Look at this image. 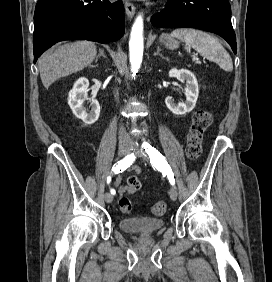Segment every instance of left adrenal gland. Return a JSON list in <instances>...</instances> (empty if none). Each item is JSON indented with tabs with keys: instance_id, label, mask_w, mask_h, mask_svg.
Returning a JSON list of instances; mask_svg holds the SVG:
<instances>
[{
	"instance_id": "left-adrenal-gland-1",
	"label": "left adrenal gland",
	"mask_w": 272,
	"mask_h": 282,
	"mask_svg": "<svg viewBox=\"0 0 272 282\" xmlns=\"http://www.w3.org/2000/svg\"><path fill=\"white\" fill-rule=\"evenodd\" d=\"M160 52H161V48L158 46L156 52L154 53V56H159V57H161L162 59L168 60V57H165V56L162 55V53H160Z\"/></svg>"
}]
</instances>
